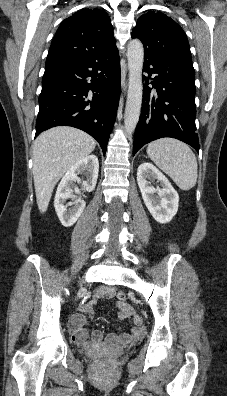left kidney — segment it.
Segmentation results:
<instances>
[{
  "label": "left kidney",
  "instance_id": "5707ae66",
  "mask_svg": "<svg viewBox=\"0 0 227 396\" xmlns=\"http://www.w3.org/2000/svg\"><path fill=\"white\" fill-rule=\"evenodd\" d=\"M154 180H158L162 188L151 186ZM137 182L152 217L161 224L170 222L178 211L179 196L166 176L153 164L144 162L138 167Z\"/></svg>",
  "mask_w": 227,
  "mask_h": 396
}]
</instances>
